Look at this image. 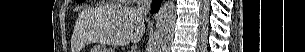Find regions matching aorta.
<instances>
[{
    "mask_svg": "<svg viewBox=\"0 0 305 52\" xmlns=\"http://www.w3.org/2000/svg\"><path fill=\"white\" fill-rule=\"evenodd\" d=\"M175 24V4L172 0L164 2L156 20V29L150 45V52H169L173 40Z\"/></svg>",
    "mask_w": 305,
    "mask_h": 52,
    "instance_id": "762f6f07",
    "label": "aorta"
}]
</instances>
